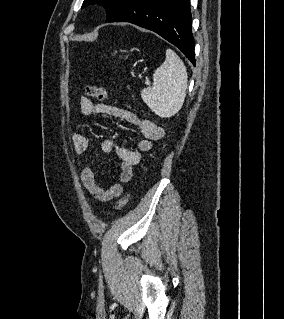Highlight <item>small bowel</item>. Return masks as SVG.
<instances>
[{
	"mask_svg": "<svg viewBox=\"0 0 284 319\" xmlns=\"http://www.w3.org/2000/svg\"><path fill=\"white\" fill-rule=\"evenodd\" d=\"M81 112L88 116L109 115L126 121L129 124L138 126L143 140L136 149L126 147L124 144L114 140H104L101 148L106 153H115L120 159L121 171L120 182L113 183L104 188L98 179L95 169L91 165L81 168V181L91 196L101 202H108L118 198L123 193L122 183L131 181L134 175V167L137 166L145 152L149 151L153 142L163 138L164 129L150 119H141L135 113L109 104L95 103L86 97L80 99ZM73 148L77 155L84 154L90 145L89 138L82 132L73 135Z\"/></svg>",
	"mask_w": 284,
	"mask_h": 319,
	"instance_id": "obj_1",
	"label": "small bowel"
}]
</instances>
